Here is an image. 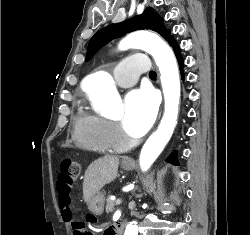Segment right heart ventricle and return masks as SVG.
<instances>
[{
	"label": "right heart ventricle",
	"mask_w": 250,
	"mask_h": 235,
	"mask_svg": "<svg viewBox=\"0 0 250 235\" xmlns=\"http://www.w3.org/2000/svg\"><path fill=\"white\" fill-rule=\"evenodd\" d=\"M74 136L77 143L86 150L113 153L122 148L110 140L108 122L83 104L78 106L74 119Z\"/></svg>",
	"instance_id": "obj_1"
}]
</instances>
